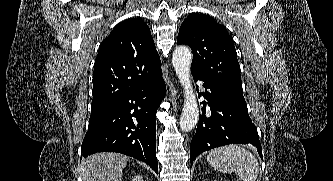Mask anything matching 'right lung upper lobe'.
Segmentation results:
<instances>
[{
	"instance_id": "cb5924a9",
	"label": "right lung upper lobe",
	"mask_w": 333,
	"mask_h": 181,
	"mask_svg": "<svg viewBox=\"0 0 333 181\" xmlns=\"http://www.w3.org/2000/svg\"><path fill=\"white\" fill-rule=\"evenodd\" d=\"M161 62L150 29L141 19L119 23L100 47L93 72L91 111L155 83Z\"/></svg>"
}]
</instances>
